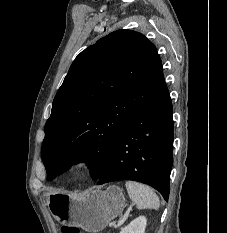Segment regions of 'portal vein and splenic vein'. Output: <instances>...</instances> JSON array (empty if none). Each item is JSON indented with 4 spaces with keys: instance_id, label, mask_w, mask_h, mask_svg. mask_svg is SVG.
<instances>
[{
    "instance_id": "1",
    "label": "portal vein and splenic vein",
    "mask_w": 227,
    "mask_h": 233,
    "mask_svg": "<svg viewBox=\"0 0 227 233\" xmlns=\"http://www.w3.org/2000/svg\"><path fill=\"white\" fill-rule=\"evenodd\" d=\"M132 207H129L128 211L123 215L122 218L118 220V223L115 225V228L122 226L129 217V212Z\"/></svg>"
}]
</instances>
